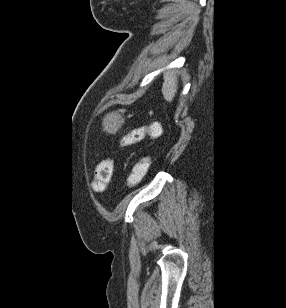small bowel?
I'll use <instances>...</instances> for the list:
<instances>
[{"label": "small bowel", "mask_w": 286, "mask_h": 308, "mask_svg": "<svg viewBox=\"0 0 286 308\" xmlns=\"http://www.w3.org/2000/svg\"><path fill=\"white\" fill-rule=\"evenodd\" d=\"M155 123H157V122H152V123H150L149 125H152V124H155Z\"/></svg>", "instance_id": "small-bowel-1"}]
</instances>
